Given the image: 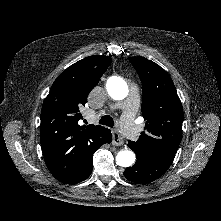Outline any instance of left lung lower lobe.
<instances>
[{"label":"left lung lower lobe","instance_id":"0a47b994","mask_svg":"<svg viewBox=\"0 0 221 221\" xmlns=\"http://www.w3.org/2000/svg\"><path fill=\"white\" fill-rule=\"evenodd\" d=\"M130 147V145L128 144ZM172 161L146 162L137 160L132 167L124 171V176L135 183H149L161 177Z\"/></svg>","mask_w":221,"mask_h":221}]
</instances>
